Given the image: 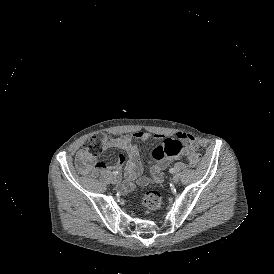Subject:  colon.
Listing matches in <instances>:
<instances>
[{"mask_svg":"<svg viewBox=\"0 0 274 274\" xmlns=\"http://www.w3.org/2000/svg\"><path fill=\"white\" fill-rule=\"evenodd\" d=\"M104 148L103 134L90 136L84 143V151L91 156H98ZM203 163V156L200 153H193L190 156L189 164L193 168H198ZM139 205L144 208L157 210L161 205V196L155 190H149L142 194L139 199Z\"/></svg>","mask_w":274,"mask_h":274,"instance_id":"5ec220e1","label":"colon"}]
</instances>
